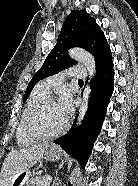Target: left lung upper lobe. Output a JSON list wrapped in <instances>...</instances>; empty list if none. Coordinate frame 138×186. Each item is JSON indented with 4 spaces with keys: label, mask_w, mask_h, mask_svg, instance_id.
I'll return each mask as SVG.
<instances>
[{
    "label": "left lung upper lobe",
    "mask_w": 138,
    "mask_h": 186,
    "mask_svg": "<svg viewBox=\"0 0 138 186\" xmlns=\"http://www.w3.org/2000/svg\"><path fill=\"white\" fill-rule=\"evenodd\" d=\"M72 47H81L91 52L97 70L112 62L110 46L95 19L86 10H74L66 17L53 50L29 82L23 101L38 81L77 63L67 55L68 49Z\"/></svg>",
    "instance_id": "1"
}]
</instances>
